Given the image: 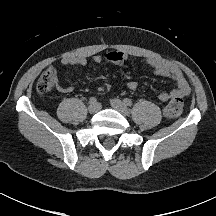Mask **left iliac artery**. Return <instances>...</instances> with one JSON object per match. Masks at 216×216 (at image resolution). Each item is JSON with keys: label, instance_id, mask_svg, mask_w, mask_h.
<instances>
[{"label": "left iliac artery", "instance_id": "1", "mask_svg": "<svg viewBox=\"0 0 216 216\" xmlns=\"http://www.w3.org/2000/svg\"><path fill=\"white\" fill-rule=\"evenodd\" d=\"M123 101H124V104L127 105V106H131L133 104L132 100L129 99V98H125Z\"/></svg>", "mask_w": 216, "mask_h": 216}]
</instances>
